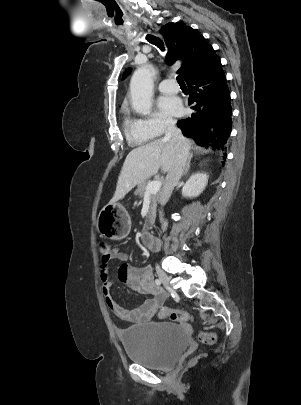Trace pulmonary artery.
I'll return each mask as SVG.
<instances>
[{"label": "pulmonary artery", "instance_id": "obj_1", "mask_svg": "<svg viewBox=\"0 0 301 405\" xmlns=\"http://www.w3.org/2000/svg\"><path fill=\"white\" fill-rule=\"evenodd\" d=\"M158 89L163 93H177L180 90L179 86L173 79H166L162 81L159 84Z\"/></svg>", "mask_w": 301, "mask_h": 405}]
</instances>
